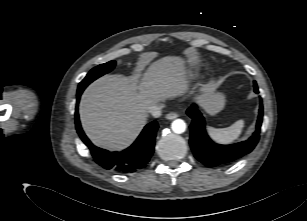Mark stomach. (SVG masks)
<instances>
[{"mask_svg": "<svg viewBox=\"0 0 307 221\" xmlns=\"http://www.w3.org/2000/svg\"><path fill=\"white\" fill-rule=\"evenodd\" d=\"M225 104V96L223 93L221 92H217L214 94V98H213V106H212V113H216L218 111H220Z\"/></svg>", "mask_w": 307, "mask_h": 221, "instance_id": "0dacf381", "label": "stomach"}]
</instances>
